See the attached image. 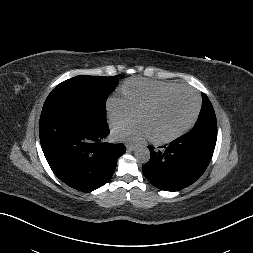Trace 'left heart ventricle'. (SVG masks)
Here are the masks:
<instances>
[{"label": "left heart ventricle", "instance_id": "1", "mask_svg": "<svg viewBox=\"0 0 253 253\" xmlns=\"http://www.w3.org/2000/svg\"><path fill=\"white\" fill-rule=\"evenodd\" d=\"M195 107V97L190 92L179 91L142 111L138 119L148 125L152 137H165L183 127L192 117Z\"/></svg>", "mask_w": 253, "mask_h": 253}]
</instances>
